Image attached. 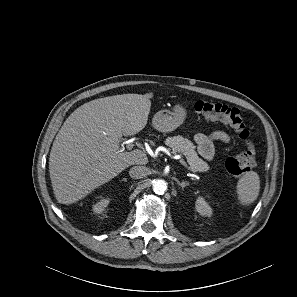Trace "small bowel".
Segmentation results:
<instances>
[{
	"instance_id": "obj_1",
	"label": "small bowel",
	"mask_w": 297,
	"mask_h": 297,
	"mask_svg": "<svg viewBox=\"0 0 297 297\" xmlns=\"http://www.w3.org/2000/svg\"><path fill=\"white\" fill-rule=\"evenodd\" d=\"M194 141L198 146L199 154L207 161L211 160L214 155V142L220 141L228 143L230 137L227 133L221 130L214 131L210 134L197 132L194 134Z\"/></svg>"
}]
</instances>
